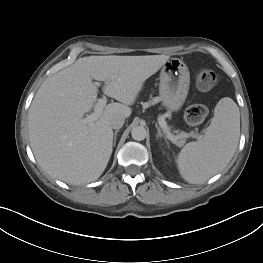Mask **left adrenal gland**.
Returning a JSON list of instances; mask_svg holds the SVG:
<instances>
[{"instance_id": "left-adrenal-gland-1", "label": "left adrenal gland", "mask_w": 263, "mask_h": 263, "mask_svg": "<svg viewBox=\"0 0 263 263\" xmlns=\"http://www.w3.org/2000/svg\"><path fill=\"white\" fill-rule=\"evenodd\" d=\"M155 127H156V129H157V138H164L165 140H166V136L161 132V129H160V127L157 125V124H155Z\"/></svg>"}]
</instances>
